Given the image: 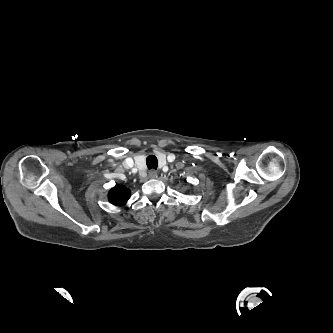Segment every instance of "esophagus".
Segmentation results:
<instances>
[{
	"mask_svg": "<svg viewBox=\"0 0 333 333\" xmlns=\"http://www.w3.org/2000/svg\"><path fill=\"white\" fill-rule=\"evenodd\" d=\"M157 176H158V172L156 170L152 169L149 171V178L154 179V178H157Z\"/></svg>",
	"mask_w": 333,
	"mask_h": 333,
	"instance_id": "1",
	"label": "esophagus"
}]
</instances>
